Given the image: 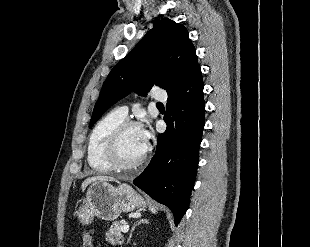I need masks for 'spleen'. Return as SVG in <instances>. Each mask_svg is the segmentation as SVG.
Masks as SVG:
<instances>
[{
    "instance_id": "obj_1",
    "label": "spleen",
    "mask_w": 310,
    "mask_h": 247,
    "mask_svg": "<svg viewBox=\"0 0 310 247\" xmlns=\"http://www.w3.org/2000/svg\"><path fill=\"white\" fill-rule=\"evenodd\" d=\"M149 210L155 214L157 212L156 207L149 205Z\"/></svg>"
}]
</instances>
